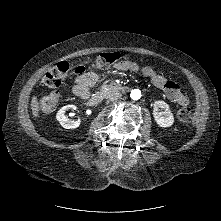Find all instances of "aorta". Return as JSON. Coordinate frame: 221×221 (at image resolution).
<instances>
[{
  "label": "aorta",
  "instance_id": "aorta-1",
  "mask_svg": "<svg viewBox=\"0 0 221 221\" xmlns=\"http://www.w3.org/2000/svg\"><path fill=\"white\" fill-rule=\"evenodd\" d=\"M130 96L133 100H138L141 98V91L139 89H134L131 91Z\"/></svg>",
  "mask_w": 221,
  "mask_h": 221
}]
</instances>
